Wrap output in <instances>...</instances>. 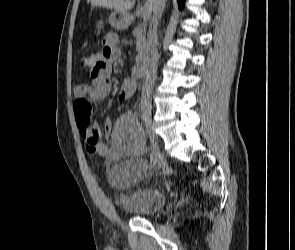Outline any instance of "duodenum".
Here are the masks:
<instances>
[{
    "label": "duodenum",
    "instance_id": "410a0bca",
    "mask_svg": "<svg viewBox=\"0 0 295 250\" xmlns=\"http://www.w3.org/2000/svg\"><path fill=\"white\" fill-rule=\"evenodd\" d=\"M136 74L139 77H144L148 70V61L145 55L139 56L136 62Z\"/></svg>",
    "mask_w": 295,
    "mask_h": 250
}]
</instances>
